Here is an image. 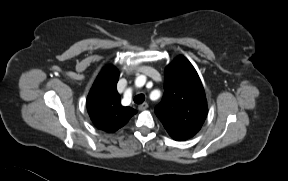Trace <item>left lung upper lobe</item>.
<instances>
[{
    "label": "left lung upper lobe",
    "instance_id": "obj_1",
    "mask_svg": "<svg viewBox=\"0 0 288 181\" xmlns=\"http://www.w3.org/2000/svg\"><path fill=\"white\" fill-rule=\"evenodd\" d=\"M164 97L155 113L169 135L177 141L193 137L202 127L208 108L201 80L183 56L164 73Z\"/></svg>",
    "mask_w": 288,
    "mask_h": 181
}]
</instances>
